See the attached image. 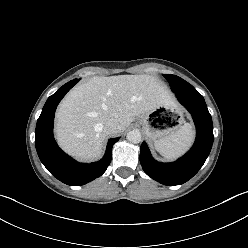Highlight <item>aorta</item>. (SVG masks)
Wrapping results in <instances>:
<instances>
[{"label": "aorta", "mask_w": 248, "mask_h": 248, "mask_svg": "<svg viewBox=\"0 0 248 248\" xmlns=\"http://www.w3.org/2000/svg\"><path fill=\"white\" fill-rule=\"evenodd\" d=\"M127 140L134 144L140 143L141 133L138 130H132L127 133Z\"/></svg>", "instance_id": "obj_1"}]
</instances>
